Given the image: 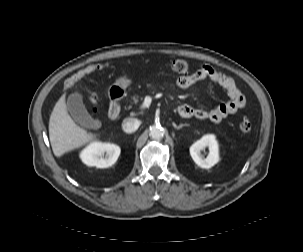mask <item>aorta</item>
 Wrapping results in <instances>:
<instances>
[{
    "label": "aorta",
    "mask_w": 303,
    "mask_h": 252,
    "mask_svg": "<svg viewBox=\"0 0 303 252\" xmlns=\"http://www.w3.org/2000/svg\"><path fill=\"white\" fill-rule=\"evenodd\" d=\"M149 135L153 139H161L164 136V131L161 126L154 125L150 127Z\"/></svg>",
    "instance_id": "aorta-1"
}]
</instances>
